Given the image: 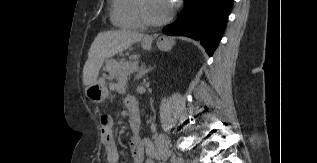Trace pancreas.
I'll return each instance as SVG.
<instances>
[{"mask_svg":"<svg viewBox=\"0 0 317 163\" xmlns=\"http://www.w3.org/2000/svg\"><path fill=\"white\" fill-rule=\"evenodd\" d=\"M136 62H125L123 59L121 61H116L115 59L108 60L106 62L105 71L108 73L106 78L112 80L121 75L122 72L136 66Z\"/></svg>","mask_w":317,"mask_h":163,"instance_id":"pancreas-1","label":"pancreas"}]
</instances>
